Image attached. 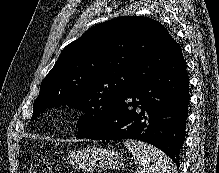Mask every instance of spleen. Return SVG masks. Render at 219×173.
<instances>
[{"label":"spleen","mask_w":219,"mask_h":173,"mask_svg":"<svg viewBox=\"0 0 219 173\" xmlns=\"http://www.w3.org/2000/svg\"><path fill=\"white\" fill-rule=\"evenodd\" d=\"M125 147L138 164L137 173H174L175 166L162 151L141 141L126 139Z\"/></svg>","instance_id":"1"}]
</instances>
